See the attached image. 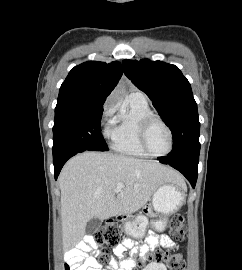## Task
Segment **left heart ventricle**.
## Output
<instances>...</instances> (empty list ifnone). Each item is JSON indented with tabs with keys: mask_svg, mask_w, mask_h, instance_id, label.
<instances>
[{
	"mask_svg": "<svg viewBox=\"0 0 242 270\" xmlns=\"http://www.w3.org/2000/svg\"><path fill=\"white\" fill-rule=\"evenodd\" d=\"M147 144L155 154H163L169 148V136L166 129L158 122H154L147 134Z\"/></svg>",
	"mask_w": 242,
	"mask_h": 270,
	"instance_id": "1",
	"label": "left heart ventricle"
}]
</instances>
